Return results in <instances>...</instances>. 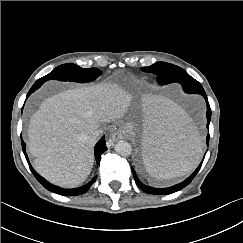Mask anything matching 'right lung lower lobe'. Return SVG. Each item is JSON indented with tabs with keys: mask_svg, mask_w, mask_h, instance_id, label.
I'll list each match as a JSON object with an SVG mask.
<instances>
[{
	"mask_svg": "<svg viewBox=\"0 0 243 243\" xmlns=\"http://www.w3.org/2000/svg\"><path fill=\"white\" fill-rule=\"evenodd\" d=\"M42 85V83H35L32 88L30 89L27 97L32 93L34 92L36 89H38L40 86ZM21 142H22V148H23V152H24V155L28 161V156L26 154V151H25V147H26V144L24 143V141L21 139ZM107 150V147H106V143H105V137L103 136L99 142L96 144L95 146V159H96V162L97 164L100 163V157H101V154ZM28 164H29V167L32 171V173L34 174L35 178L42 184L43 187H45L46 189H48L49 191H52L54 193H57V194H60V195H64V196H76V195H80V194H83L85 193L90 187L91 185L95 182L96 178H93L89 183H87L86 185L82 186V187H79V188H75V189H63V188H60L58 186H55L51 183H49L48 181H46L43 177H41L33 168L32 166L30 165L29 161H28Z\"/></svg>",
	"mask_w": 243,
	"mask_h": 243,
	"instance_id": "right-lung-lower-lobe-1",
	"label": "right lung lower lobe"
}]
</instances>
